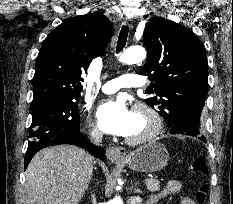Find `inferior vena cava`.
Listing matches in <instances>:
<instances>
[{"label":"inferior vena cava","mask_w":233,"mask_h":204,"mask_svg":"<svg viewBox=\"0 0 233 204\" xmlns=\"http://www.w3.org/2000/svg\"><path fill=\"white\" fill-rule=\"evenodd\" d=\"M102 137L103 134L99 131H96L92 134V138L96 141V142H101L102 141Z\"/></svg>","instance_id":"inferior-vena-cava-1"}]
</instances>
